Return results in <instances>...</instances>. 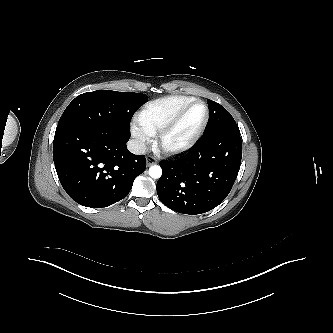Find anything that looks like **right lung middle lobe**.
Here are the masks:
<instances>
[{
  "label": "right lung middle lobe",
  "instance_id": "dd1d6c3e",
  "mask_svg": "<svg viewBox=\"0 0 333 333\" xmlns=\"http://www.w3.org/2000/svg\"><path fill=\"white\" fill-rule=\"evenodd\" d=\"M148 100L144 94L97 90L77 96L62 114L58 129H79L125 140L130 137V121Z\"/></svg>",
  "mask_w": 333,
  "mask_h": 333
}]
</instances>
